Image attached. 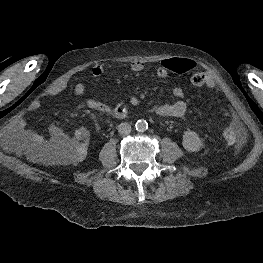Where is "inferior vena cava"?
<instances>
[{"label":"inferior vena cava","mask_w":263,"mask_h":263,"mask_svg":"<svg viewBox=\"0 0 263 263\" xmlns=\"http://www.w3.org/2000/svg\"><path fill=\"white\" fill-rule=\"evenodd\" d=\"M118 132L120 135L126 136L131 132V126L128 123H120L118 125Z\"/></svg>","instance_id":"inferior-vena-cava-1"}]
</instances>
